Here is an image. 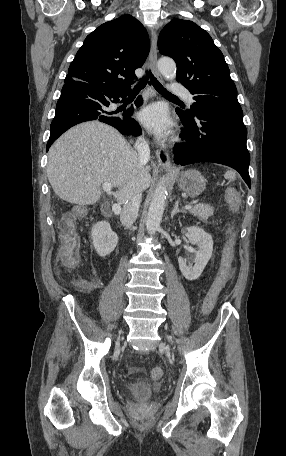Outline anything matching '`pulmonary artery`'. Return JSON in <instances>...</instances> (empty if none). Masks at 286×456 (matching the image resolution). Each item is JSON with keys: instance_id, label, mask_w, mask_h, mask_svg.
I'll list each match as a JSON object with an SVG mask.
<instances>
[{"instance_id": "e3ab8cb5", "label": "pulmonary artery", "mask_w": 286, "mask_h": 456, "mask_svg": "<svg viewBox=\"0 0 286 456\" xmlns=\"http://www.w3.org/2000/svg\"><path fill=\"white\" fill-rule=\"evenodd\" d=\"M173 93L175 95H178V96H181V97H184L186 98L189 102H192V99H191V94L189 93V91L185 88H182V87H174L173 88Z\"/></svg>"}]
</instances>
